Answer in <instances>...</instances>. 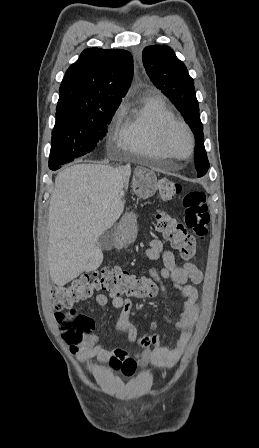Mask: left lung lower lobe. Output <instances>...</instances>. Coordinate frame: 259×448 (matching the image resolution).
I'll return each instance as SVG.
<instances>
[{"instance_id": "obj_1", "label": "left lung lower lobe", "mask_w": 259, "mask_h": 448, "mask_svg": "<svg viewBox=\"0 0 259 448\" xmlns=\"http://www.w3.org/2000/svg\"><path fill=\"white\" fill-rule=\"evenodd\" d=\"M205 175V173H198V177Z\"/></svg>"}]
</instances>
